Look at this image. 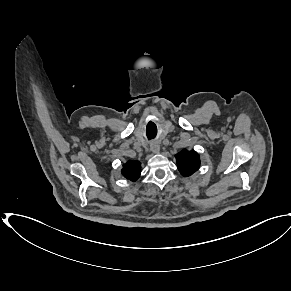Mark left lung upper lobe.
Returning a JSON list of instances; mask_svg holds the SVG:
<instances>
[{
  "mask_svg": "<svg viewBox=\"0 0 291 291\" xmlns=\"http://www.w3.org/2000/svg\"><path fill=\"white\" fill-rule=\"evenodd\" d=\"M177 167L183 176H190L198 170L200 159L197 152L194 150H182L176 155Z\"/></svg>",
  "mask_w": 291,
  "mask_h": 291,
  "instance_id": "left-lung-upper-lobe-1",
  "label": "left lung upper lobe"
}]
</instances>
